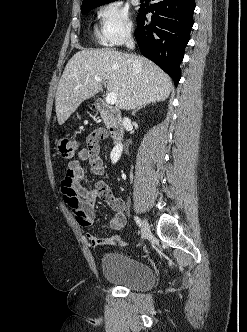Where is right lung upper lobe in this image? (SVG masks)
Instances as JSON below:
<instances>
[{
	"label": "right lung upper lobe",
	"mask_w": 247,
	"mask_h": 332,
	"mask_svg": "<svg viewBox=\"0 0 247 332\" xmlns=\"http://www.w3.org/2000/svg\"><path fill=\"white\" fill-rule=\"evenodd\" d=\"M109 0H83L82 7L88 6V5H93V4H98V3H103Z\"/></svg>",
	"instance_id": "1"
}]
</instances>
